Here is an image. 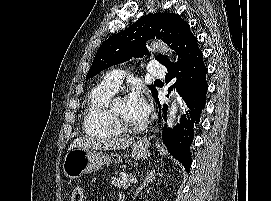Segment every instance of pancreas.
Instances as JSON below:
<instances>
[{
  "label": "pancreas",
  "instance_id": "cf45deb5",
  "mask_svg": "<svg viewBox=\"0 0 271 201\" xmlns=\"http://www.w3.org/2000/svg\"><path fill=\"white\" fill-rule=\"evenodd\" d=\"M110 183L114 185L115 187L122 188V189H127L128 187H130L129 179L124 174H120L118 177L112 176L110 179Z\"/></svg>",
  "mask_w": 271,
  "mask_h": 201
}]
</instances>
